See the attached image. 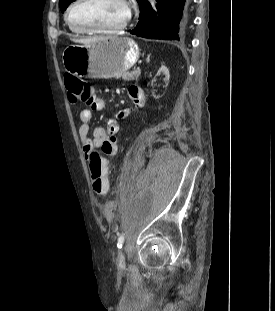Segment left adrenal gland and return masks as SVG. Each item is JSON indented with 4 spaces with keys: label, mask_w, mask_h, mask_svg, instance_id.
I'll list each match as a JSON object with an SVG mask.
<instances>
[{
    "label": "left adrenal gland",
    "mask_w": 275,
    "mask_h": 311,
    "mask_svg": "<svg viewBox=\"0 0 275 311\" xmlns=\"http://www.w3.org/2000/svg\"><path fill=\"white\" fill-rule=\"evenodd\" d=\"M147 62L150 61V54L148 55L147 59H146Z\"/></svg>",
    "instance_id": "obj_1"
}]
</instances>
